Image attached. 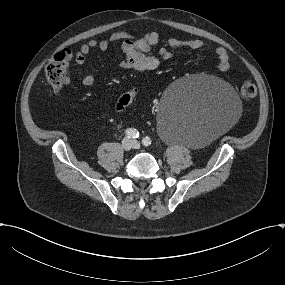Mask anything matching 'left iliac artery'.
<instances>
[{
	"label": "left iliac artery",
	"mask_w": 285,
	"mask_h": 285,
	"mask_svg": "<svg viewBox=\"0 0 285 285\" xmlns=\"http://www.w3.org/2000/svg\"><path fill=\"white\" fill-rule=\"evenodd\" d=\"M142 143L144 146H150L151 145V139L149 137H144L142 140Z\"/></svg>",
	"instance_id": "left-iliac-artery-1"
}]
</instances>
